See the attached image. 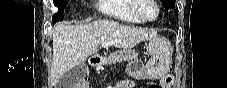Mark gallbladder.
Masks as SVG:
<instances>
[{
    "mask_svg": "<svg viewBox=\"0 0 227 88\" xmlns=\"http://www.w3.org/2000/svg\"><path fill=\"white\" fill-rule=\"evenodd\" d=\"M86 76V66L84 63L77 65L62 75L57 82V88H73Z\"/></svg>",
    "mask_w": 227,
    "mask_h": 88,
    "instance_id": "bac80fb5",
    "label": "gallbladder"
}]
</instances>
